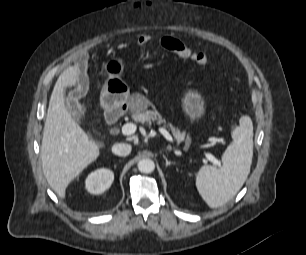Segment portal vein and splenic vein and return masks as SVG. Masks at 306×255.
I'll return each instance as SVG.
<instances>
[{
	"label": "portal vein and splenic vein",
	"instance_id": "18ae733b",
	"mask_svg": "<svg viewBox=\"0 0 306 255\" xmlns=\"http://www.w3.org/2000/svg\"><path fill=\"white\" fill-rule=\"evenodd\" d=\"M137 130V126L133 123H126L122 126L121 128V132L123 135H132L136 132ZM159 132L169 141H173L171 135L169 134V132L164 129V128H159ZM205 156L207 157V159L213 163L214 165H217L218 167H222L221 166V162L215 158V156H213L211 153L208 152H204Z\"/></svg>",
	"mask_w": 306,
	"mask_h": 255
}]
</instances>
